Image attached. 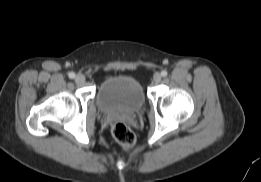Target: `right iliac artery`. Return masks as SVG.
<instances>
[{"label": "right iliac artery", "mask_w": 261, "mask_h": 182, "mask_svg": "<svg viewBox=\"0 0 261 182\" xmlns=\"http://www.w3.org/2000/svg\"><path fill=\"white\" fill-rule=\"evenodd\" d=\"M68 76H69V78L73 79V78L75 77V73L70 72V73L68 74Z\"/></svg>", "instance_id": "1"}]
</instances>
